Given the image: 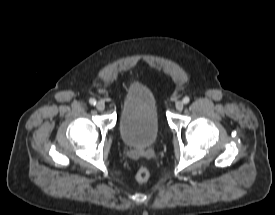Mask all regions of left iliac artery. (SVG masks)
Segmentation results:
<instances>
[{
	"instance_id": "1",
	"label": "left iliac artery",
	"mask_w": 275,
	"mask_h": 215,
	"mask_svg": "<svg viewBox=\"0 0 275 215\" xmlns=\"http://www.w3.org/2000/svg\"><path fill=\"white\" fill-rule=\"evenodd\" d=\"M189 101H190V98H189V97L186 96V97L183 98V103H184V104L189 103Z\"/></svg>"
}]
</instances>
